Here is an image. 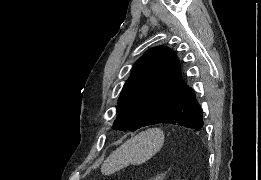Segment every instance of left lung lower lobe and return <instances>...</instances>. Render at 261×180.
<instances>
[{"label": "left lung lower lobe", "instance_id": "obj_1", "mask_svg": "<svg viewBox=\"0 0 261 180\" xmlns=\"http://www.w3.org/2000/svg\"><path fill=\"white\" fill-rule=\"evenodd\" d=\"M158 123L175 124L200 130L203 127L202 109L196 100L194 90L185 85L168 107L152 122V124Z\"/></svg>", "mask_w": 261, "mask_h": 180}]
</instances>
